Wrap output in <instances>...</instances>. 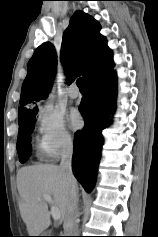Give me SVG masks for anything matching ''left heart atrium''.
I'll use <instances>...</instances> for the list:
<instances>
[{"mask_svg":"<svg viewBox=\"0 0 158 237\" xmlns=\"http://www.w3.org/2000/svg\"><path fill=\"white\" fill-rule=\"evenodd\" d=\"M69 122L74 130L80 129L83 126V117L78 110L74 109L70 112Z\"/></svg>","mask_w":158,"mask_h":237,"instance_id":"left-heart-atrium-1","label":"left heart atrium"}]
</instances>
